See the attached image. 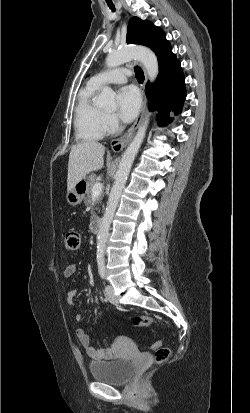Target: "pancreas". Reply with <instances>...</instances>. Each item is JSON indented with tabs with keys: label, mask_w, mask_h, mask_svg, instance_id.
Segmentation results:
<instances>
[{
	"label": "pancreas",
	"mask_w": 250,
	"mask_h": 413,
	"mask_svg": "<svg viewBox=\"0 0 250 413\" xmlns=\"http://www.w3.org/2000/svg\"><path fill=\"white\" fill-rule=\"evenodd\" d=\"M96 183H98V178H97V176H96L95 174H93V173L90 174V175L87 177V189H86V198H85V203L88 204V205L91 204V199H92V195H93L92 189H93V186H94ZM102 197H103V194L100 193V194L97 196V202H101ZM95 210H97V208L94 209V210H92V218L95 217V215H94V211H95Z\"/></svg>",
	"instance_id": "obj_1"
}]
</instances>
